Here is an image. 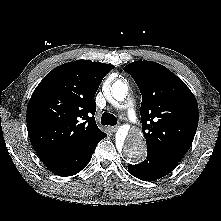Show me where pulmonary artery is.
<instances>
[{
    "instance_id": "e3ab8cb5",
    "label": "pulmonary artery",
    "mask_w": 221,
    "mask_h": 221,
    "mask_svg": "<svg viewBox=\"0 0 221 221\" xmlns=\"http://www.w3.org/2000/svg\"><path fill=\"white\" fill-rule=\"evenodd\" d=\"M128 115H129L131 121L134 122V121H135V118H134V109H133L132 106H129V108H128Z\"/></svg>"
}]
</instances>
